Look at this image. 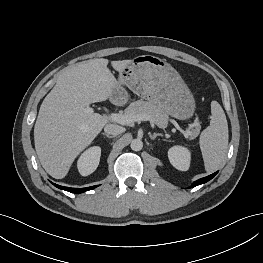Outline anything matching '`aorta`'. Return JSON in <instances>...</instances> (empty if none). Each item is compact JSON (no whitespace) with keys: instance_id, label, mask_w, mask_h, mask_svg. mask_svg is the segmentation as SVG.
<instances>
[{"instance_id":"1","label":"aorta","mask_w":263,"mask_h":263,"mask_svg":"<svg viewBox=\"0 0 263 263\" xmlns=\"http://www.w3.org/2000/svg\"><path fill=\"white\" fill-rule=\"evenodd\" d=\"M130 147L134 151H140L143 148V142L140 139H134L131 141Z\"/></svg>"}]
</instances>
